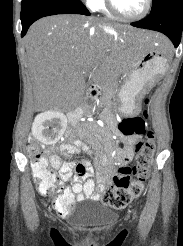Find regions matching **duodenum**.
<instances>
[{
  "mask_svg": "<svg viewBox=\"0 0 183 246\" xmlns=\"http://www.w3.org/2000/svg\"><path fill=\"white\" fill-rule=\"evenodd\" d=\"M101 98H102V90L100 86L98 85L90 86L88 88V91L85 97L84 105L79 104L78 108H75L74 111L68 114L69 121L72 124H74L78 120L79 116H83L84 109H87L88 106H94L98 104Z\"/></svg>",
  "mask_w": 183,
  "mask_h": 246,
  "instance_id": "1",
  "label": "duodenum"
}]
</instances>
